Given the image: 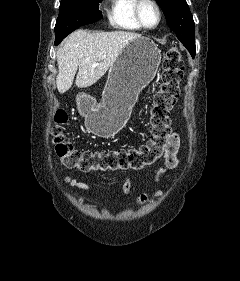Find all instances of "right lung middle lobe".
<instances>
[{
  "instance_id": "dd1d6c3e",
  "label": "right lung middle lobe",
  "mask_w": 240,
  "mask_h": 281,
  "mask_svg": "<svg viewBox=\"0 0 240 281\" xmlns=\"http://www.w3.org/2000/svg\"><path fill=\"white\" fill-rule=\"evenodd\" d=\"M102 0H61L55 25V45L82 25L100 19L99 2Z\"/></svg>"
}]
</instances>
